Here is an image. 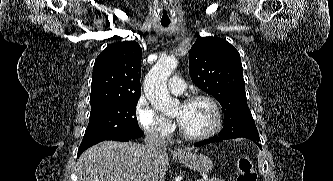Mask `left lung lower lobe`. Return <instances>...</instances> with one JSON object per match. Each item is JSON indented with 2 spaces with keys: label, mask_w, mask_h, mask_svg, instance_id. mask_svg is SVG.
Wrapping results in <instances>:
<instances>
[{
  "label": "left lung lower lobe",
  "mask_w": 333,
  "mask_h": 181,
  "mask_svg": "<svg viewBox=\"0 0 333 181\" xmlns=\"http://www.w3.org/2000/svg\"><path fill=\"white\" fill-rule=\"evenodd\" d=\"M230 121H226L225 122V127H223V129L220 131V133L218 134V136H214V137H212L210 139H207V140L195 143L194 146L198 147V146L206 145V144H209V143L220 142V141L227 140V139L237 138L235 136H232V135L226 133V131H228V129L226 128V126L230 124ZM255 143L261 148L259 142H255Z\"/></svg>",
  "instance_id": "obj_1"
}]
</instances>
